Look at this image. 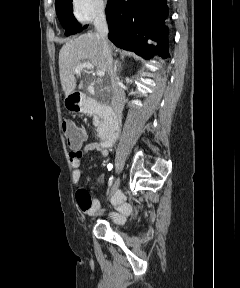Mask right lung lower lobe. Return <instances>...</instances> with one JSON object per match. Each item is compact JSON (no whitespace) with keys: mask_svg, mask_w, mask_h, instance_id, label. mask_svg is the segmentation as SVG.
Instances as JSON below:
<instances>
[{"mask_svg":"<svg viewBox=\"0 0 240 288\" xmlns=\"http://www.w3.org/2000/svg\"><path fill=\"white\" fill-rule=\"evenodd\" d=\"M168 15L166 0H108L106 18L108 38L119 48L150 58L169 56L164 20ZM148 39L158 42L156 47Z\"/></svg>","mask_w":240,"mask_h":288,"instance_id":"1","label":"right lung lower lobe"}]
</instances>
